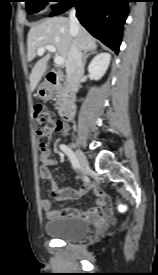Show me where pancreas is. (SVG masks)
Listing matches in <instances>:
<instances>
[{
	"label": "pancreas",
	"mask_w": 158,
	"mask_h": 275,
	"mask_svg": "<svg viewBox=\"0 0 158 275\" xmlns=\"http://www.w3.org/2000/svg\"><path fill=\"white\" fill-rule=\"evenodd\" d=\"M67 93H68V87L67 85L57 83L55 85V94L57 97V105H61L62 102L67 98Z\"/></svg>",
	"instance_id": "cf45deb5"
}]
</instances>
